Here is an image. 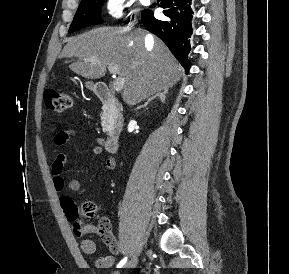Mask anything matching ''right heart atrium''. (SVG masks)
Returning a JSON list of instances; mask_svg holds the SVG:
<instances>
[{
	"instance_id": "right-heart-atrium-1",
	"label": "right heart atrium",
	"mask_w": 289,
	"mask_h": 274,
	"mask_svg": "<svg viewBox=\"0 0 289 274\" xmlns=\"http://www.w3.org/2000/svg\"><path fill=\"white\" fill-rule=\"evenodd\" d=\"M104 10L112 19L129 18L133 13V4L129 0H106Z\"/></svg>"
}]
</instances>
